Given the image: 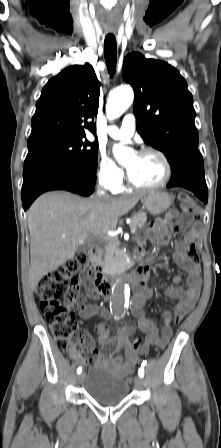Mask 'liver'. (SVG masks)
Here are the masks:
<instances>
[{"instance_id": "1", "label": "liver", "mask_w": 221, "mask_h": 448, "mask_svg": "<svg viewBox=\"0 0 221 448\" xmlns=\"http://www.w3.org/2000/svg\"><path fill=\"white\" fill-rule=\"evenodd\" d=\"M144 195L138 192L118 198L82 199L55 191L38 197L27 211L31 288L35 289L45 275L72 259L80 242L113 231L118 218Z\"/></svg>"}]
</instances>
